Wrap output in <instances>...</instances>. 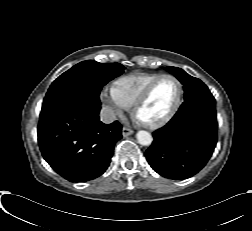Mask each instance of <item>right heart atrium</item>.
<instances>
[{
	"mask_svg": "<svg viewBox=\"0 0 252 231\" xmlns=\"http://www.w3.org/2000/svg\"><path fill=\"white\" fill-rule=\"evenodd\" d=\"M101 100L105 104L108 116L111 119L122 117L129 110V106L118 97L114 87L105 90L101 95Z\"/></svg>",
	"mask_w": 252,
	"mask_h": 231,
	"instance_id": "1",
	"label": "right heart atrium"
}]
</instances>
